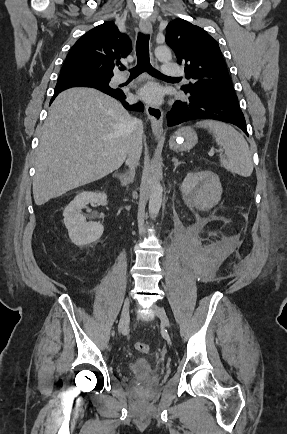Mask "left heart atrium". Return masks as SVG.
<instances>
[{
    "instance_id": "39dd6f15",
    "label": "left heart atrium",
    "mask_w": 287,
    "mask_h": 434,
    "mask_svg": "<svg viewBox=\"0 0 287 434\" xmlns=\"http://www.w3.org/2000/svg\"><path fill=\"white\" fill-rule=\"evenodd\" d=\"M140 96L150 103H159L163 98V91L159 86L151 84L141 90Z\"/></svg>"
}]
</instances>
